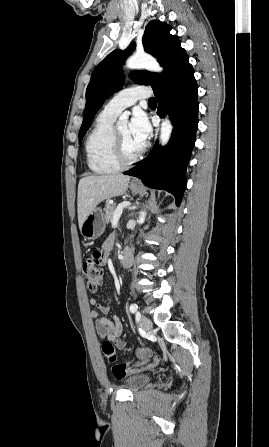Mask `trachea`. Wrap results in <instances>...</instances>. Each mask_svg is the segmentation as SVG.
Instances as JSON below:
<instances>
[{
	"label": "trachea",
	"instance_id": "trachea-1",
	"mask_svg": "<svg viewBox=\"0 0 269 447\" xmlns=\"http://www.w3.org/2000/svg\"><path fill=\"white\" fill-rule=\"evenodd\" d=\"M148 103H149V105H156L157 104L156 99L154 97L149 98Z\"/></svg>",
	"mask_w": 269,
	"mask_h": 447
}]
</instances>
